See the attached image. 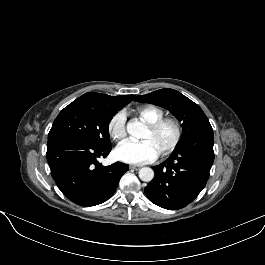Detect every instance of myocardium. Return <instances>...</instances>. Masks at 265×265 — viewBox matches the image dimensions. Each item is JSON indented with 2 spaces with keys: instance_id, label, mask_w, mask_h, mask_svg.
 <instances>
[{
  "instance_id": "1",
  "label": "myocardium",
  "mask_w": 265,
  "mask_h": 265,
  "mask_svg": "<svg viewBox=\"0 0 265 265\" xmlns=\"http://www.w3.org/2000/svg\"><path fill=\"white\" fill-rule=\"evenodd\" d=\"M170 124L174 129V136L172 141L159 152L158 155L161 157L167 156L171 152H173L177 146L180 144L183 136V129L180 122L174 117H162L161 119L147 124V129L152 133L158 132L163 126Z\"/></svg>"
}]
</instances>
